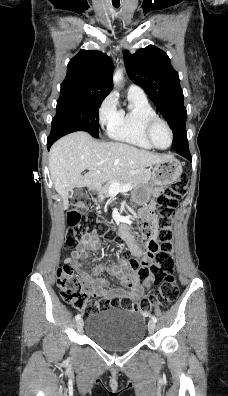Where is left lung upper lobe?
<instances>
[{"instance_id": "left-lung-upper-lobe-1", "label": "left lung upper lobe", "mask_w": 228, "mask_h": 396, "mask_svg": "<svg viewBox=\"0 0 228 396\" xmlns=\"http://www.w3.org/2000/svg\"><path fill=\"white\" fill-rule=\"evenodd\" d=\"M124 62L130 79L149 95L173 131V148L183 156L188 151L181 139L186 132V108L178 73L161 49L149 45L135 54L124 51Z\"/></svg>"}]
</instances>
